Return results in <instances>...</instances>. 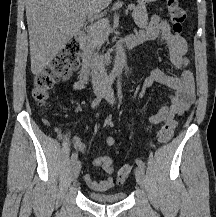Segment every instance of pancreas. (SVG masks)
I'll use <instances>...</instances> for the list:
<instances>
[{
	"mask_svg": "<svg viewBox=\"0 0 216 217\" xmlns=\"http://www.w3.org/2000/svg\"><path fill=\"white\" fill-rule=\"evenodd\" d=\"M132 16L136 25L145 28L148 25V14L143 3L134 6ZM109 33V24L106 20H101L92 25L89 31L91 44L94 46L101 45L107 38Z\"/></svg>",
	"mask_w": 216,
	"mask_h": 217,
	"instance_id": "obj_1",
	"label": "pancreas"
}]
</instances>
